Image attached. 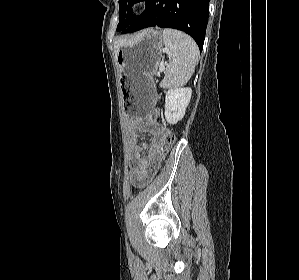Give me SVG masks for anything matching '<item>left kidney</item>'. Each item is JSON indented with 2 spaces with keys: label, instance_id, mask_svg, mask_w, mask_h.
Masks as SVG:
<instances>
[{
  "label": "left kidney",
  "instance_id": "5707ae66",
  "mask_svg": "<svg viewBox=\"0 0 299 280\" xmlns=\"http://www.w3.org/2000/svg\"><path fill=\"white\" fill-rule=\"evenodd\" d=\"M191 95V88H174L166 92L164 114L168 123L176 124L182 120Z\"/></svg>",
  "mask_w": 299,
  "mask_h": 280
}]
</instances>
